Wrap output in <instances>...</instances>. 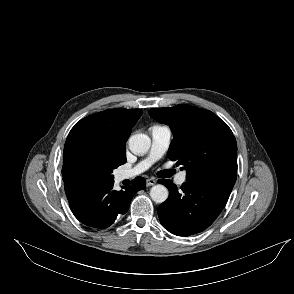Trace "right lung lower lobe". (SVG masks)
<instances>
[{
  "label": "right lung lower lobe",
  "mask_w": 294,
  "mask_h": 294,
  "mask_svg": "<svg viewBox=\"0 0 294 294\" xmlns=\"http://www.w3.org/2000/svg\"><path fill=\"white\" fill-rule=\"evenodd\" d=\"M114 179L92 186L70 185L65 188L69 206L74 216L83 224L95 228H107L118 215L125 214L130 202L146 186L143 177H137L124 190H113Z\"/></svg>",
  "instance_id": "obj_1"
}]
</instances>
